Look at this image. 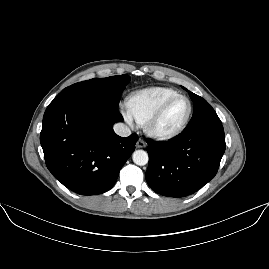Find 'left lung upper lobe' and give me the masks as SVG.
Listing matches in <instances>:
<instances>
[{
    "label": "left lung upper lobe",
    "instance_id": "left-lung-upper-lobe-1",
    "mask_svg": "<svg viewBox=\"0 0 269 269\" xmlns=\"http://www.w3.org/2000/svg\"><path fill=\"white\" fill-rule=\"evenodd\" d=\"M193 101V116L184 130V132L192 131L204 126L221 124L219 117L212 106L202 97L188 91L183 87Z\"/></svg>",
    "mask_w": 269,
    "mask_h": 269
}]
</instances>
